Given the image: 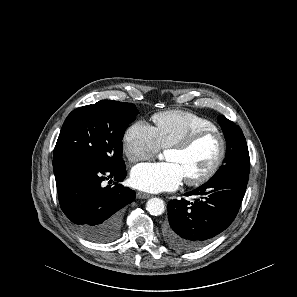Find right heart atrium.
Returning a JSON list of instances; mask_svg holds the SVG:
<instances>
[{"label": "right heart atrium", "mask_w": 297, "mask_h": 297, "mask_svg": "<svg viewBox=\"0 0 297 297\" xmlns=\"http://www.w3.org/2000/svg\"><path fill=\"white\" fill-rule=\"evenodd\" d=\"M122 147L131 162L152 158L161 148L154 127L143 120L134 122L126 129Z\"/></svg>", "instance_id": "1"}]
</instances>
